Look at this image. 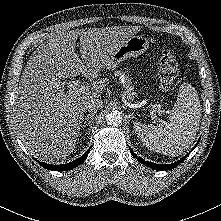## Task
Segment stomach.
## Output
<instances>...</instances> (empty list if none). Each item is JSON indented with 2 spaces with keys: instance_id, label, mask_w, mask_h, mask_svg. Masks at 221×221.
Segmentation results:
<instances>
[{
  "instance_id": "0dacf381",
  "label": "stomach",
  "mask_w": 221,
  "mask_h": 221,
  "mask_svg": "<svg viewBox=\"0 0 221 221\" xmlns=\"http://www.w3.org/2000/svg\"><path fill=\"white\" fill-rule=\"evenodd\" d=\"M149 47V41L143 36H131L114 52L108 63V69H114L122 61L131 58L138 57L143 54Z\"/></svg>"
}]
</instances>
